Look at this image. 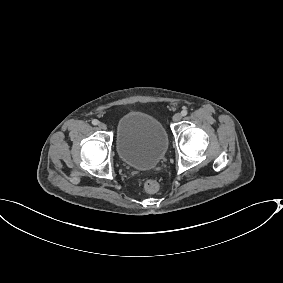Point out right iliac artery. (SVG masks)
<instances>
[{"mask_svg": "<svg viewBox=\"0 0 283 283\" xmlns=\"http://www.w3.org/2000/svg\"><path fill=\"white\" fill-rule=\"evenodd\" d=\"M92 124H93V125H98V124H99V121H98L97 119H94V120H92Z\"/></svg>", "mask_w": 283, "mask_h": 283, "instance_id": "1", "label": "right iliac artery"}]
</instances>
